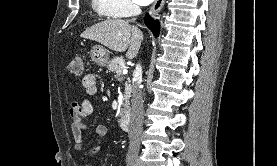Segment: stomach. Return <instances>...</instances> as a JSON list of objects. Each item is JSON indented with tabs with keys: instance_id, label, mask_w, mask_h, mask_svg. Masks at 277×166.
I'll list each match as a JSON object with an SVG mask.
<instances>
[{
	"instance_id": "obj_1",
	"label": "stomach",
	"mask_w": 277,
	"mask_h": 166,
	"mask_svg": "<svg viewBox=\"0 0 277 166\" xmlns=\"http://www.w3.org/2000/svg\"><path fill=\"white\" fill-rule=\"evenodd\" d=\"M91 60L100 67L109 63V51L100 45H95L90 51Z\"/></svg>"
}]
</instances>
